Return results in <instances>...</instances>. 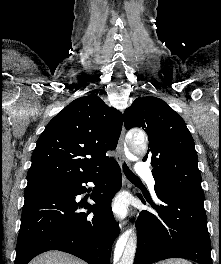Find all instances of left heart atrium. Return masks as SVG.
I'll return each instance as SVG.
<instances>
[{
	"instance_id": "left-heart-atrium-1",
	"label": "left heart atrium",
	"mask_w": 221,
	"mask_h": 264,
	"mask_svg": "<svg viewBox=\"0 0 221 264\" xmlns=\"http://www.w3.org/2000/svg\"><path fill=\"white\" fill-rule=\"evenodd\" d=\"M127 207V199L124 195H118L113 199L112 209L117 215L124 216L127 212Z\"/></svg>"
}]
</instances>
